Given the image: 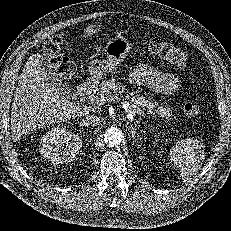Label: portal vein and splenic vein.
I'll return each mask as SVG.
<instances>
[{"label":"portal vein and splenic vein","instance_id":"portal-vein-and-splenic-vein-1","mask_svg":"<svg viewBox=\"0 0 231 231\" xmlns=\"http://www.w3.org/2000/svg\"><path fill=\"white\" fill-rule=\"evenodd\" d=\"M111 98H116V97H113V96H112ZM118 100H120V99H118ZM118 100H117V101H118ZM101 101H103V99H102ZM121 103H122L123 108H124V109L126 110V112H127V118H128L130 121H132V120H133L134 113L129 109V106H130L129 102L123 100ZM96 104H98V103H96ZM98 105H101V104H98Z\"/></svg>","mask_w":231,"mask_h":231}]
</instances>
